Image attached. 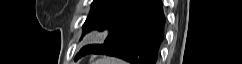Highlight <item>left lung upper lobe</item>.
Returning a JSON list of instances; mask_svg holds the SVG:
<instances>
[{
  "mask_svg": "<svg viewBox=\"0 0 242 64\" xmlns=\"http://www.w3.org/2000/svg\"><path fill=\"white\" fill-rule=\"evenodd\" d=\"M121 0H94L91 5L90 13L83 25V35L95 30V26L100 18Z\"/></svg>",
  "mask_w": 242,
  "mask_h": 64,
  "instance_id": "5c2ea615",
  "label": "left lung upper lobe"
}]
</instances>
